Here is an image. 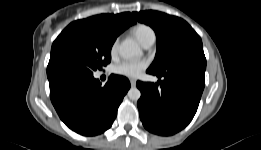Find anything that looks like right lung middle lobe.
I'll use <instances>...</instances> for the list:
<instances>
[{
	"mask_svg": "<svg viewBox=\"0 0 261 150\" xmlns=\"http://www.w3.org/2000/svg\"><path fill=\"white\" fill-rule=\"evenodd\" d=\"M116 37L91 25L67 26L52 44L48 79L63 75H93L111 61Z\"/></svg>",
	"mask_w": 261,
	"mask_h": 150,
	"instance_id": "1",
	"label": "right lung middle lobe"
}]
</instances>
